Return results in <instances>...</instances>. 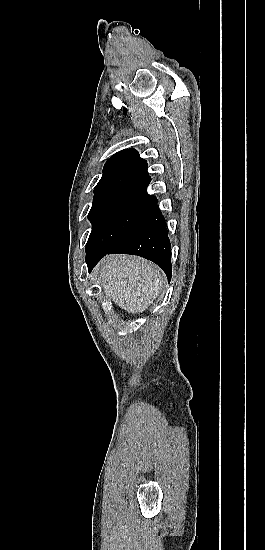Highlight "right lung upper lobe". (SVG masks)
<instances>
[{
  "label": "right lung upper lobe",
  "mask_w": 265,
  "mask_h": 550,
  "mask_svg": "<svg viewBox=\"0 0 265 550\" xmlns=\"http://www.w3.org/2000/svg\"><path fill=\"white\" fill-rule=\"evenodd\" d=\"M147 167V161L135 149L117 152L105 163L94 197L120 189L147 188L151 181Z\"/></svg>",
  "instance_id": "cb5924a9"
}]
</instances>
